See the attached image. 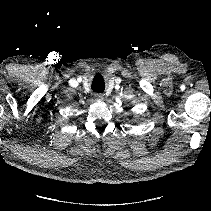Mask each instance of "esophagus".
Segmentation results:
<instances>
[{
  "mask_svg": "<svg viewBox=\"0 0 211 211\" xmlns=\"http://www.w3.org/2000/svg\"><path fill=\"white\" fill-rule=\"evenodd\" d=\"M95 98L97 99V100H104V95H102V94H100V93H97V94H95Z\"/></svg>",
  "mask_w": 211,
  "mask_h": 211,
  "instance_id": "obj_1",
  "label": "esophagus"
}]
</instances>
